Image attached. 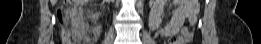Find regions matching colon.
Returning <instances> with one entry per match:
<instances>
[{
	"instance_id": "colon-1",
	"label": "colon",
	"mask_w": 261,
	"mask_h": 44,
	"mask_svg": "<svg viewBox=\"0 0 261 44\" xmlns=\"http://www.w3.org/2000/svg\"><path fill=\"white\" fill-rule=\"evenodd\" d=\"M65 2H71V1H65ZM189 2H198V1H196V0H189ZM185 41H186L185 35L181 33V34L173 37L170 40V44H184Z\"/></svg>"
}]
</instances>
